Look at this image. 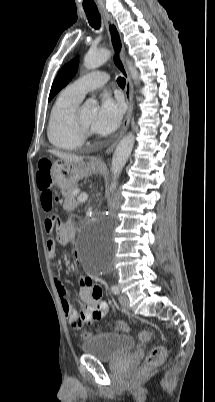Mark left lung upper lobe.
<instances>
[{
    "instance_id": "1",
    "label": "left lung upper lobe",
    "mask_w": 215,
    "mask_h": 402,
    "mask_svg": "<svg viewBox=\"0 0 215 402\" xmlns=\"http://www.w3.org/2000/svg\"><path fill=\"white\" fill-rule=\"evenodd\" d=\"M77 66L78 60L75 58L62 67L52 84L49 101L73 78L77 71Z\"/></svg>"
}]
</instances>
